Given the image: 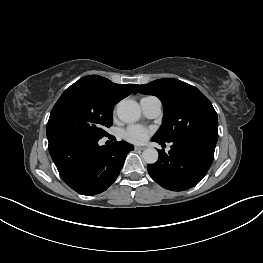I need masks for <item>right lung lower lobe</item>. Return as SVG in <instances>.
<instances>
[{
  "label": "right lung lower lobe",
  "mask_w": 263,
  "mask_h": 263,
  "mask_svg": "<svg viewBox=\"0 0 263 263\" xmlns=\"http://www.w3.org/2000/svg\"><path fill=\"white\" fill-rule=\"evenodd\" d=\"M99 138L64 137L49 141V152L64 182L82 195L105 191L118 177L133 145L98 144Z\"/></svg>",
  "instance_id": "98d812e1"
}]
</instances>
